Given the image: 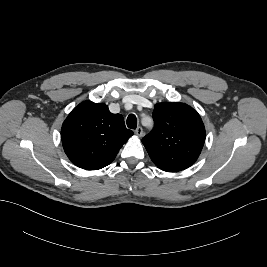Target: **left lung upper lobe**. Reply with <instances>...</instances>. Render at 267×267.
<instances>
[{
  "mask_svg": "<svg viewBox=\"0 0 267 267\" xmlns=\"http://www.w3.org/2000/svg\"><path fill=\"white\" fill-rule=\"evenodd\" d=\"M153 119L155 128L142 143L155 165L164 171L190 167L205 142L200 115L184 103L163 102L154 106Z\"/></svg>",
  "mask_w": 267,
  "mask_h": 267,
  "instance_id": "left-lung-upper-lobe-1",
  "label": "left lung upper lobe"
}]
</instances>
